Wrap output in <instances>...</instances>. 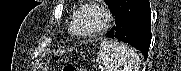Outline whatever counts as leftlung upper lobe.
Segmentation results:
<instances>
[{
    "instance_id": "1",
    "label": "left lung upper lobe",
    "mask_w": 181,
    "mask_h": 71,
    "mask_svg": "<svg viewBox=\"0 0 181 71\" xmlns=\"http://www.w3.org/2000/svg\"><path fill=\"white\" fill-rule=\"evenodd\" d=\"M108 5H109V8L111 9L112 6L114 5V3L116 2V0H104Z\"/></svg>"
}]
</instances>
